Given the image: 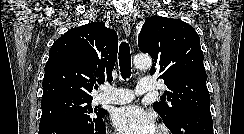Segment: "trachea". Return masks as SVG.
<instances>
[{
    "label": "trachea",
    "mask_w": 244,
    "mask_h": 134,
    "mask_svg": "<svg viewBox=\"0 0 244 134\" xmlns=\"http://www.w3.org/2000/svg\"><path fill=\"white\" fill-rule=\"evenodd\" d=\"M119 66L123 79L131 76V54L129 44L123 41L119 47Z\"/></svg>",
    "instance_id": "1"
}]
</instances>
